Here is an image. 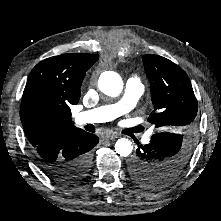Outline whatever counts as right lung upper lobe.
I'll return each instance as SVG.
<instances>
[{
  "label": "right lung upper lobe",
  "instance_id": "1",
  "mask_svg": "<svg viewBox=\"0 0 221 221\" xmlns=\"http://www.w3.org/2000/svg\"><path fill=\"white\" fill-rule=\"evenodd\" d=\"M98 55L69 53L47 58L31 71L20 107V118L32 148L75 128L70 105L77 104L87 70Z\"/></svg>",
  "mask_w": 221,
  "mask_h": 221
}]
</instances>
